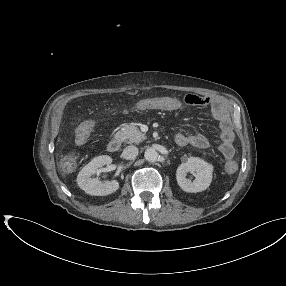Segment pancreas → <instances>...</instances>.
Listing matches in <instances>:
<instances>
[{
	"instance_id": "pancreas-1",
	"label": "pancreas",
	"mask_w": 286,
	"mask_h": 286,
	"mask_svg": "<svg viewBox=\"0 0 286 286\" xmlns=\"http://www.w3.org/2000/svg\"><path fill=\"white\" fill-rule=\"evenodd\" d=\"M114 137L127 144H138L146 139L145 134L142 133L137 126L132 124H124Z\"/></svg>"
}]
</instances>
